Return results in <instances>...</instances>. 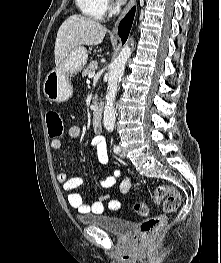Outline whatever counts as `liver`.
Returning a JSON list of instances; mask_svg holds the SVG:
<instances>
[{"instance_id":"obj_1","label":"liver","mask_w":221,"mask_h":263,"mask_svg":"<svg viewBox=\"0 0 221 263\" xmlns=\"http://www.w3.org/2000/svg\"><path fill=\"white\" fill-rule=\"evenodd\" d=\"M106 32L107 29L98 21L82 15H71L57 32L54 50L56 65L59 66L76 47L100 44Z\"/></svg>"}]
</instances>
